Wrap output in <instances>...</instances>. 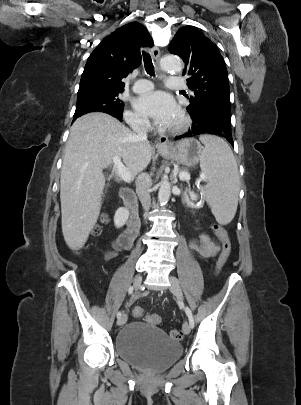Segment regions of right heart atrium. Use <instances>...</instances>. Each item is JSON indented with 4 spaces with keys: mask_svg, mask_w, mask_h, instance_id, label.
<instances>
[{
    "mask_svg": "<svg viewBox=\"0 0 301 405\" xmlns=\"http://www.w3.org/2000/svg\"><path fill=\"white\" fill-rule=\"evenodd\" d=\"M125 120L133 129H147L149 127V121L145 117L132 111L125 113Z\"/></svg>",
    "mask_w": 301,
    "mask_h": 405,
    "instance_id": "obj_1",
    "label": "right heart atrium"
}]
</instances>
